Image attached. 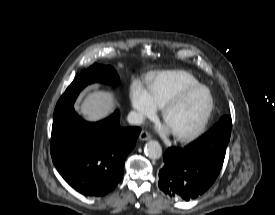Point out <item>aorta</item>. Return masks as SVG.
Wrapping results in <instances>:
<instances>
[{
  "label": "aorta",
  "instance_id": "obj_1",
  "mask_svg": "<svg viewBox=\"0 0 275 215\" xmlns=\"http://www.w3.org/2000/svg\"><path fill=\"white\" fill-rule=\"evenodd\" d=\"M145 154L150 159H159L162 156V147L159 142L151 140L145 146Z\"/></svg>",
  "mask_w": 275,
  "mask_h": 215
}]
</instances>
